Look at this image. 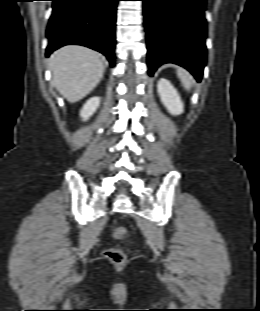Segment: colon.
I'll return each mask as SVG.
<instances>
[{
	"mask_svg": "<svg viewBox=\"0 0 260 311\" xmlns=\"http://www.w3.org/2000/svg\"><path fill=\"white\" fill-rule=\"evenodd\" d=\"M116 238H124L127 235V230L124 227H116L114 231ZM104 256L114 264H123L126 260V255L119 248H108L104 251Z\"/></svg>",
	"mask_w": 260,
	"mask_h": 311,
	"instance_id": "colon-1",
	"label": "colon"
}]
</instances>
